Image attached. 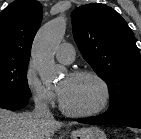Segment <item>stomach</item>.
<instances>
[{
	"label": "stomach",
	"mask_w": 141,
	"mask_h": 139,
	"mask_svg": "<svg viewBox=\"0 0 141 139\" xmlns=\"http://www.w3.org/2000/svg\"><path fill=\"white\" fill-rule=\"evenodd\" d=\"M72 139H106L105 133L96 126H90L74 131L71 134Z\"/></svg>",
	"instance_id": "0dacf381"
}]
</instances>
